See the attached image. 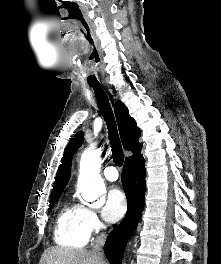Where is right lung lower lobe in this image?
Here are the masks:
<instances>
[{
    "instance_id": "98d812e1",
    "label": "right lung lower lobe",
    "mask_w": 221,
    "mask_h": 264,
    "mask_svg": "<svg viewBox=\"0 0 221 264\" xmlns=\"http://www.w3.org/2000/svg\"><path fill=\"white\" fill-rule=\"evenodd\" d=\"M144 162L143 157H138L124 163L121 180L127 197V213L104 245V253L110 264H121L128 239L137 227L143 211L146 189Z\"/></svg>"
}]
</instances>
